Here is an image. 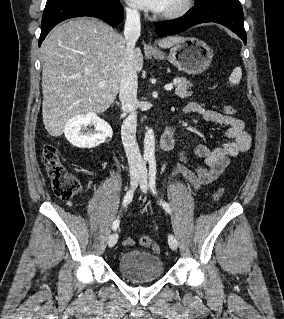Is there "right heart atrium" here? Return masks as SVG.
<instances>
[{"label": "right heart atrium", "mask_w": 284, "mask_h": 319, "mask_svg": "<svg viewBox=\"0 0 284 319\" xmlns=\"http://www.w3.org/2000/svg\"><path fill=\"white\" fill-rule=\"evenodd\" d=\"M125 10H126V14H127V16L129 18H131V19H137L138 18L139 12L133 6H130V5L126 6Z\"/></svg>", "instance_id": "d8ad5b80"}]
</instances>
